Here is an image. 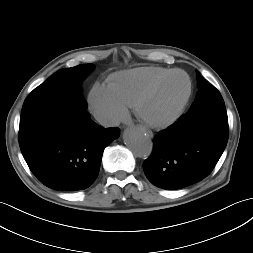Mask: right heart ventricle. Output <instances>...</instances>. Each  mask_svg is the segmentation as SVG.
I'll return each mask as SVG.
<instances>
[{
	"label": "right heart ventricle",
	"mask_w": 253,
	"mask_h": 253,
	"mask_svg": "<svg viewBox=\"0 0 253 253\" xmlns=\"http://www.w3.org/2000/svg\"><path fill=\"white\" fill-rule=\"evenodd\" d=\"M172 69L145 66L112 75L109 87L126 107H134L139 96L158 78Z\"/></svg>",
	"instance_id": "1"
}]
</instances>
